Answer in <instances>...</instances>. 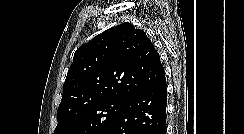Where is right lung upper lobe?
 Here are the masks:
<instances>
[{"mask_svg":"<svg viewBox=\"0 0 244 134\" xmlns=\"http://www.w3.org/2000/svg\"><path fill=\"white\" fill-rule=\"evenodd\" d=\"M164 77L160 56L145 32L131 23H122L76 50L57 119L71 117L107 99H128Z\"/></svg>","mask_w":244,"mask_h":134,"instance_id":"cb5924a9","label":"right lung upper lobe"}]
</instances>
